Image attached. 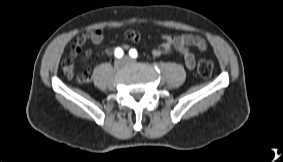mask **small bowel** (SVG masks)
I'll list each match as a JSON object with an SVG mask.
<instances>
[{"label":"small bowel","instance_id":"1","mask_svg":"<svg viewBox=\"0 0 283 162\" xmlns=\"http://www.w3.org/2000/svg\"><path fill=\"white\" fill-rule=\"evenodd\" d=\"M103 38L104 36L102 31L98 29L84 32L82 35L77 37L72 44L70 57L65 59L62 63V68L65 74L69 77L74 76L73 59L82 51V48L87 41L98 45L103 41ZM125 38L127 41L133 43H138L140 41V35L134 30L127 31L125 33ZM162 38V42L153 48L152 55L157 57L162 54L175 52L184 59L185 66L190 70L194 69L196 65V57L191 51V47H197L199 50H204L206 47L204 39L198 35H174L166 33L162 36ZM127 46L128 44H125V47ZM92 54L93 53L91 50H87L84 54V57L88 59ZM110 54V49H107L103 52V55ZM86 73L90 74L89 70L86 71Z\"/></svg>","mask_w":283,"mask_h":162}]
</instances>
